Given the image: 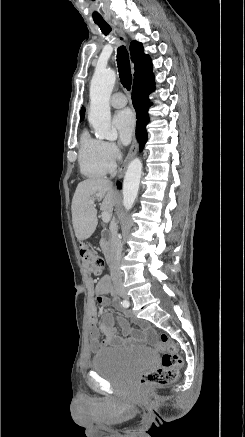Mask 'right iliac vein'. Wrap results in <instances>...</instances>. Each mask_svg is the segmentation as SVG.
<instances>
[{
  "label": "right iliac vein",
  "instance_id": "right-iliac-vein-1",
  "mask_svg": "<svg viewBox=\"0 0 245 437\" xmlns=\"http://www.w3.org/2000/svg\"><path fill=\"white\" fill-rule=\"evenodd\" d=\"M118 293H119L120 296H122V297H124V298L127 297V293H126L125 290H119Z\"/></svg>",
  "mask_w": 245,
  "mask_h": 437
}]
</instances>
